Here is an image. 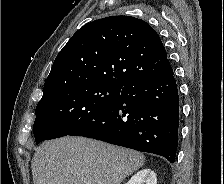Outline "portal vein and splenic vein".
I'll list each match as a JSON object with an SVG mask.
<instances>
[{
    "mask_svg": "<svg viewBox=\"0 0 224 184\" xmlns=\"http://www.w3.org/2000/svg\"><path fill=\"white\" fill-rule=\"evenodd\" d=\"M85 184H91L90 182H86Z\"/></svg>",
    "mask_w": 224,
    "mask_h": 184,
    "instance_id": "portal-vein-and-splenic-vein-1",
    "label": "portal vein and splenic vein"
}]
</instances>
